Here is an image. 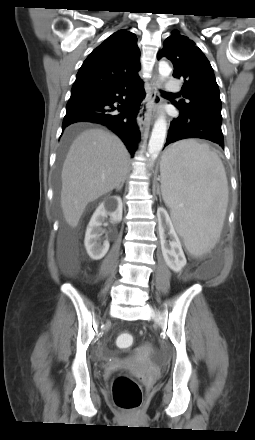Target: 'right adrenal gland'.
I'll use <instances>...</instances> for the list:
<instances>
[{
  "label": "right adrenal gland",
  "instance_id": "obj_1",
  "mask_svg": "<svg viewBox=\"0 0 255 440\" xmlns=\"http://www.w3.org/2000/svg\"><path fill=\"white\" fill-rule=\"evenodd\" d=\"M124 183H125V179L121 182V184L118 187H116V191H121Z\"/></svg>",
  "mask_w": 255,
  "mask_h": 440
}]
</instances>
